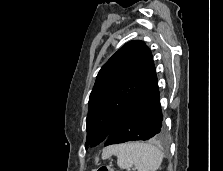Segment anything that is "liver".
Masks as SVG:
<instances>
[{"label":"liver","mask_w":223,"mask_h":171,"mask_svg":"<svg viewBox=\"0 0 223 171\" xmlns=\"http://www.w3.org/2000/svg\"><path fill=\"white\" fill-rule=\"evenodd\" d=\"M113 147H108V148L104 149L103 154H102L103 159L108 158L112 154L111 149Z\"/></svg>","instance_id":"obj_1"}]
</instances>
